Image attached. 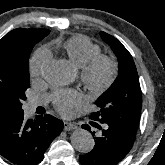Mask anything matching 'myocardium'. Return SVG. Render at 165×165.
Returning a JSON list of instances; mask_svg holds the SVG:
<instances>
[{
  "mask_svg": "<svg viewBox=\"0 0 165 165\" xmlns=\"http://www.w3.org/2000/svg\"><path fill=\"white\" fill-rule=\"evenodd\" d=\"M118 70L113 57L99 54L81 68V81L91 92L101 94L114 84Z\"/></svg>",
  "mask_w": 165,
  "mask_h": 165,
  "instance_id": "obj_1",
  "label": "myocardium"
}]
</instances>
